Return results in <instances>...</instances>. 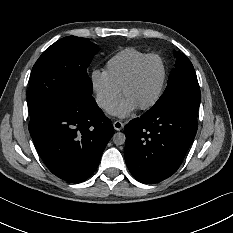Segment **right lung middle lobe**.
I'll use <instances>...</instances> for the list:
<instances>
[{
  "mask_svg": "<svg viewBox=\"0 0 233 233\" xmlns=\"http://www.w3.org/2000/svg\"><path fill=\"white\" fill-rule=\"evenodd\" d=\"M97 52V45L76 36L64 37L45 50L31 71L30 118L54 109L72 94H92L87 67Z\"/></svg>",
  "mask_w": 233,
  "mask_h": 233,
  "instance_id": "right-lung-middle-lobe-1",
  "label": "right lung middle lobe"
}]
</instances>
